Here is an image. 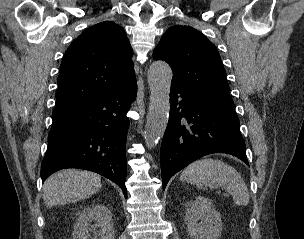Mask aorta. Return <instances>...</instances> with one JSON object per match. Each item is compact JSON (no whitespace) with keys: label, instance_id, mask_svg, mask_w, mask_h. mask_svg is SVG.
I'll list each match as a JSON object with an SVG mask.
<instances>
[{"label":"aorta","instance_id":"obj_1","mask_svg":"<svg viewBox=\"0 0 304 239\" xmlns=\"http://www.w3.org/2000/svg\"><path fill=\"white\" fill-rule=\"evenodd\" d=\"M172 70L164 61H155L148 70L150 103L145 126V143L154 148L163 137L170 111Z\"/></svg>","mask_w":304,"mask_h":239}]
</instances>
